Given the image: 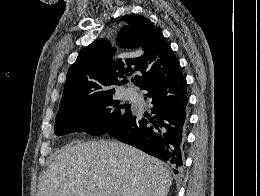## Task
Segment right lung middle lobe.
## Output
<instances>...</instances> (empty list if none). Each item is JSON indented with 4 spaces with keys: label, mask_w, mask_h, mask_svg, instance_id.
Wrapping results in <instances>:
<instances>
[{
    "label": "right lung middle lobe",
    "mask_w": 260,
    "mask_h": 196,
    "mask_svg": "<svg viewBox=\"0 0 260 196\" xmlns=\"http://www.w3.org/2000/svg\"><path fill=\"white\" fill-rule=\"evenodd\" d=\"M114 93H99L76 101L58 111L55 134L87 132L99 136L110 132L130 120L136 113L128 107L118 106Z\"/></svg>",
    "instance_id": "obj_1"
}]
</instances>
